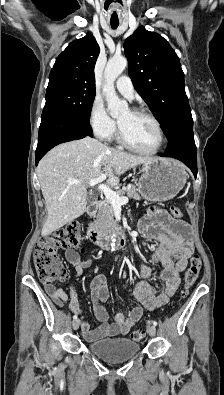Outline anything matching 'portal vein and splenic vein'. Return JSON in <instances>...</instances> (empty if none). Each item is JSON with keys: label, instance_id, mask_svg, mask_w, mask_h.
<instances>
[{"label": "portal vein and splenic vein", "instance_id": "1", "mask_svg": "<svg viewBox=\"0 0 224 395\" xmlns=\"http://www.w3.org/2000/svg\"><path fill=\"white\" fill-rule=\"evenodd\" d=\"M106 177H107L106 174H102L98 178L91 179L89 181V185L95 186L96 184H99L102 181H104ZM70 183L75 185L80 184V182L76 180H70ZM98 189L104 193L105 198L111 203L112 206L121 207V205L126 204L129 201L127 197H120L115 191H113L110 187H108L105 184H99Z\"/></svg>", "mask_w": 224, "mask_h": 395}]
</instances>
